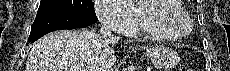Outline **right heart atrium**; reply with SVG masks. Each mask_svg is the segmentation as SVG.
<instances>
[{"mask_svg": "<svg viewBox=\"0 0 230 71\" xmlns=\"http://www.w3.org/2000/svg\"><path fill=\"white\" fill-rule=\"evenodd\" d=\"M95 13L103 25L120 34L136 26L133 9L124 0H96Z\"/></svg>", "mask_w": 230, "mask_h": 71, "instance_id": "right-heart-atrium-1", "label": "right heart atrium"}]
</instances>
